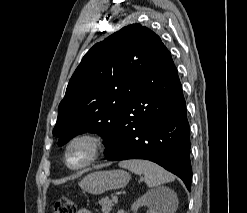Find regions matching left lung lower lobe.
<instances>
[{"label":"left lung lower lobe","mask_w":247,"mask_h":213,"mask_svg":"<svg viewBox=\"0 0 247 213\" xmlns=\"http://www.w3.org/2000/svg\"><path fill=\"white\" fill-rule=\"evenodd\" d=\"M108 160L146 159L180 177L191 190L189 123L177 69L169 54L144 75L128 99Z\"/></svg>","instance_id":"left-lung-lower-lobe-1"}]
</instances>
